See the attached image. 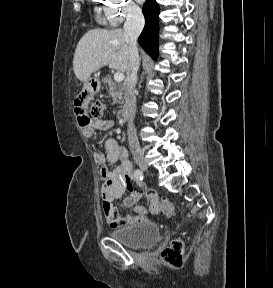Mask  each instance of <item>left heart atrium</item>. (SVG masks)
<instances>
[{"mask_svg": "<svg viewBox=\"0 0 273 288\" xmlns=\"http://www.w3.org/2000/svg\"><path fill=\"white\" fill-rule=\"evenodd\" d=\"M139 2H143L144 0H138Z\"/></svg>", "mask_w": 273, "mask_h": 288, "instance_id": "left-heart-atrium-1", "label": "left heart atrium"}]
</instances>
